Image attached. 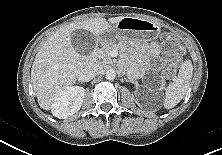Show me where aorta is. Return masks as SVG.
<instances>
[{
	"instance_id": "1",
	"label": "aorta",
	"mask_w": 222,
	"mask_h": 155,
	"mask_svg": "<svg viewBox=\"0 0 222 155\" xmlns=\"http://www.w3.org/2000/svg\"><path fill=\"white\" fill-rule=\"evenodd\" d=\"M106 79L113 80L116 77V72L114 69H107L105 72Z\"/></svg>"
}]
</instances>
